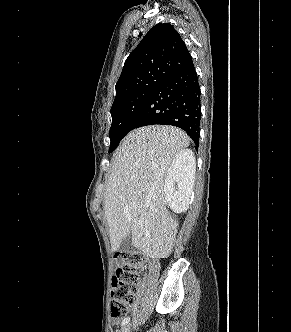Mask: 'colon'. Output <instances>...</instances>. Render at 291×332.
I'll list each match as a JSON object with an SVG mask.
<instances>
[{
	"label": "colon",
	"instance_id": "colon-1",
	"mask_svg": "<svg viewBox=\"0 0 291 332\" xmlns=\"http://www.w3.org/2000/svg\"><path fill=\"white\" fill-rule=\"evenodd\" d=\"M117 258L122 264L112 280L110 315L114 319L123 317L134 303L144 265V257L136 251H122Z\"/></svg>",
	"mask_w": 291,
	"mask_h": 332
}]
</instances>
